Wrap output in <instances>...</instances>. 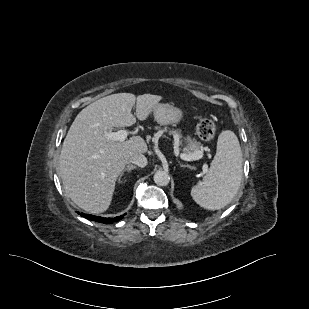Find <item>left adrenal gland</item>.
<instances>
[{
	"label": "left adrenal gland",
	"instance_id": "obj_1",
	"mask_svg": "<svg viewBox=\"0 0 309 309\" xmlns=\"http://www.w3.org/2000/svg\"><path fill=\"white\" fill-rule=\"evenodd\" d=\"M180 167L193 169L190 165L180 164Z\"/></svg>",
	"mask_w": 309,
	"mask_h": 309
}]
</instances>
